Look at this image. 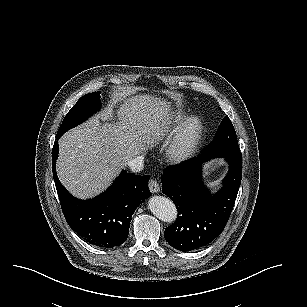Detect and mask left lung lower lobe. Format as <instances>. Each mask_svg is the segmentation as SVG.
Instances as JSON below:
<instances>
[{
	"label": "left lung lower lobe",
	"mask_w": 307,
	"mask_h": 307,
	"mask_svg": "<svg viewBox=\"0 0 307 307\" xmlns=\"http://www.w3.org/2000/svg\"><path fill=\"white\" fill-rule=\"evenodd\" d=\"M212 158L201 156L163 172L162 191L178 210L177 221L165 229L164 237L179 251L209 245L224 230L232 212L242 178V158L224 157L230 169L224 187L213 196L201 182L202 164Z\"/></svg>",
	"instance_id": "1"
}]
</instances>
